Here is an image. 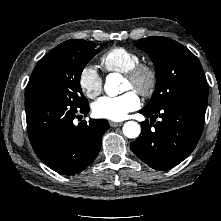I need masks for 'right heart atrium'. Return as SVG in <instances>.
Listing matches in <instances>:
<instances>
[{
    "label": "right heart atrium",
    "mask_w": 221,
    "mask_h": 221,
    "mask_svg": "<svg viewBox=\"0 0 221 221\" xmlns=\"http://www.w3.org/2000/svg\"><path fill=\"white\" fill-rule=\"evenodd\" d=\"M79 88L88 98H96L103 89V80L95 66L88 64L78 77Z\"/></svg>",
    "instance_id": "d8ad5b80"
}]
</instances>
